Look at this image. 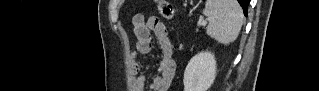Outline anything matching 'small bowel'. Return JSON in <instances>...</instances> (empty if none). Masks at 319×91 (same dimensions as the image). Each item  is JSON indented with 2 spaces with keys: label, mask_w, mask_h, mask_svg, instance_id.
<instances>
[{
  "label": "small bowel",
  "mask_w": 319,
  "mask_h": 91,
  "mask_svg": "<svg viewBox=\"0 0 319 91\" xmlns=\"http://www.w3.org/2000/svg\"><path fill=\"white\" fill-rule=\"evenodd\" d=\"M136 36V51L139 54H148L152 50L153 35L161 50V59L158 65V74L147 83L144 75H139L141 66L138 62L132 63L133 91H168L176 69L174 60L175 46L169 36V31L164 23L157 17L136 15L133 18Z\"/></svg>",
  "instance_id": "obj_1"
}]
</instances>
